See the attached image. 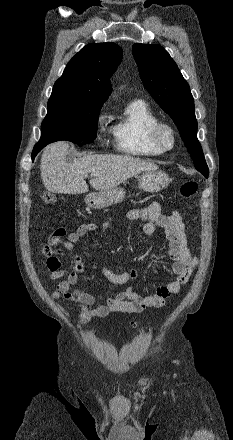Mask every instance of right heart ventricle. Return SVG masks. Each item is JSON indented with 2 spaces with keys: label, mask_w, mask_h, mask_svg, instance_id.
Here are the masks:
<instances>
[{
  "label": "right heart ventricle",
  "mask_w": 233,
  "mask_h": 440,
  "mask_svg": "<svg viewBox=\"0 0 233 440\" xmlns=\"http://www.w3.org/2000/svg\"><path fill=\"white\" fill-rule=\"evenodd\" d=\"M158 121L159 118L145 101H131L110 127L117 150L132 157L161 155L163 152L148 140V129Z\"/></svg>",
  "instance_id": "1"
}]
</instances>
